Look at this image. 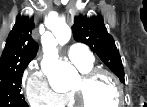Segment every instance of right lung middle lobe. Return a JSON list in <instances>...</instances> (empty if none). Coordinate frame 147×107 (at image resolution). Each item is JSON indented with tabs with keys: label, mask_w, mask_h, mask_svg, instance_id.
<instances>
[{
	"label": "right lung middle lobe",
	"mask_w": 147,
	"mask_h": 107,
	"mask_svg": "<svg viewBox=\"0 0 147 107\" xmlns=\"http://www.w3.org/2000/svg\"><path fill=\"white\" fill-rule=\"evenodd\" d=\"M26 67L0 75V107H29L20 94L22 75Z\"/></svg>",
	"instance_id": "dd1d6c3e"
}]
</instances>
